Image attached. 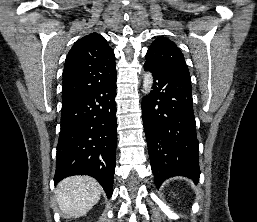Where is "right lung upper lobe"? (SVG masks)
<instances>
[{
    "mask_svg": "<svg viewBox=\"0 0 257 222\" xmlns=\"http://www.w3.org/2000/svg\"><path fill=\"white\" fill-rule=\"evenodd\" d=\"M115 72V55L103 36L91 33L77 40L64 66L62 103L94 89Z\"/></svg>",
    "mask_w": 257,
    "mask_h": 222,
    "instance_id": "cb5924a9",
    "label": "right lung upper lobe"
}]
</instances>
